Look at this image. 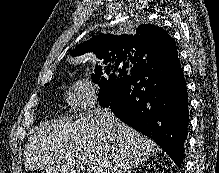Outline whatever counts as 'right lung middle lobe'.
<instances>
[{"label": "right lung middle lobe", "instance_id": "dd1d6c3e", "mask_svg": "<svg viewBox=\"0 0 219 173\" xmlns=\"http://www.w3.org/2000/svg\"><path fill=\"white\" fill-rule=\"evenodd\" d=\"M137 67L129 63L102 66L100 71L92 77L93 82L100 87L98 101L102 107L109 103L115 90L134 73Z\"/></svg>", "mask_w": 219, "mask_h": 173}]
</instances>
